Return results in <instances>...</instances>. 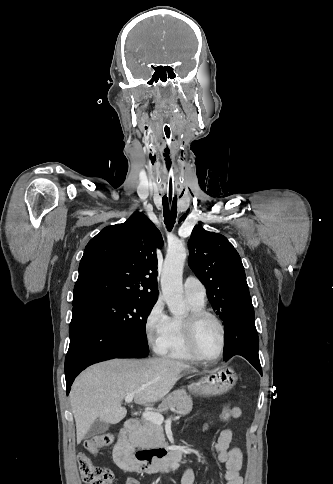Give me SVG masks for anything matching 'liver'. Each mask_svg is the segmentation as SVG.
Instances as JSON below:
<instances>
[{"mask_svg":"<svg viewBox=\"0 0 333 484\" xmlns=\"http://www.w3.org/2000/svg\"><path fill=\"white\" fill-rule=\"evenodd\" d=\"M196 371L190 364L166 358L114 359L89 367L76 378L69 395L77 443L96 420L120 422L127 414L122 402L128 394L135 393L136 404L154 405L170 392L181 373Z\"/></svg>","mask_w":333,"mask_h":484,"instance_id":"1","label":"liver"}]
</instances>
